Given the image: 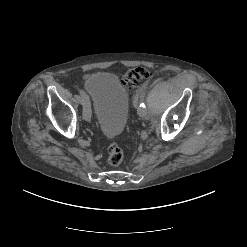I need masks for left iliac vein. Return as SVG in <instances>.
Wrapping results in <instances>:
<instances>
[{
  "label": "left iliac vein",
  "instance_id": "obj_1",
  "mask_svg": "<svg viewBox=\"0 0 247 247\" xmlns=\"http://www.w3.org/2000/svg\"><path fill=\"white\" fill-rule=\"evenodd\" d=\"M138 114L140 117L145 118V119L148 118L150 115L147 109H142V110L138 109Z\"/></svg>",
  "mask_w": 247,
  "mask_h": 247
}]
</instances>
